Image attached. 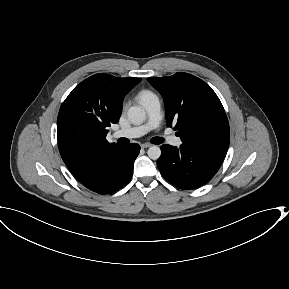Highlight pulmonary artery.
I'll return each instance as SVG.
<instances>
[{
	"mask_svg": "<svg viewBox=\"0 0 289 289\" xmlns=\"http://www.w3.org/2000/svg\"><path fill=\"white\" fill-rule=\"evenodd\" d=\"M147 112V122L143 125L121 129L113 133L114 138H137L145 135L148 131L155 128L161 120V109L158 98L152 97L143 105ZM168 142L174 146L181 144V139L178 137H168Z\"/></svg>",
	"mask_w": 289,
	"mask_h": 289,
	"instance_id": "1",
	"label": "pulmonary artery"
}]
</instances>
